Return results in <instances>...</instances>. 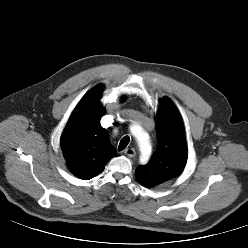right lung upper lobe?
<instances>
[{"label": "right lung upper lobe", "instance_id": "obj_1", "mask_svg": "<svg viewBox=\"0 0 248 248\" xmlns=\"http://www.w3.org/2000/svg\"><path fill=\"white\" fill-rule=\"evenodd\" d=\"M103 86L89 91L72 112L61 136V147L71 172L89 180L117 156L106 129L100 125L105 109L99 102Z\"/></svg>", "mask_w": 248, "mask_h": 248}]
</instances>
